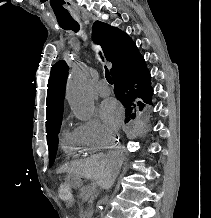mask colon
Instances as JSON below:
<instances>
[{"label":"colon","mask_w":211,"mask_h":218,"mask_svg":"<svg viewBox=\"0 0 211 218\" xmlns=\"http://www.w3.org/2000/svg\"><path fill=\"white\" fill-rule=\"evenodd\" d=\"M58 195L61 200L67 202L72 199V192L69 186L62 184L58 188Z\"/></svg>","instance_id":"obj_1"}]
</instances>
